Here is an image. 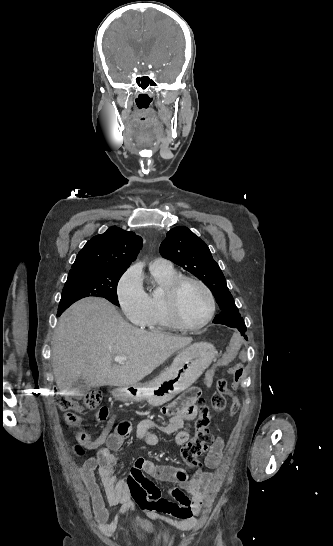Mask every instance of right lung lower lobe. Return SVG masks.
<instances>
[{
	"instance_id": "obj_1",
	"label": "right lung lower lobe",
	"mask_w": 333,
	"mask_h": 546,
	"mask_svg": "<svg viewBox=\"0 0 333 546\" xmlns=\"http://www.w3.org/2000/svg\"><path fill=\"white\" fill-rule=\"evenodd\" d=\"M64 310H58L57 316H60Z\"/></svg>"
}]
</instances>
